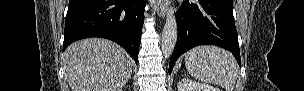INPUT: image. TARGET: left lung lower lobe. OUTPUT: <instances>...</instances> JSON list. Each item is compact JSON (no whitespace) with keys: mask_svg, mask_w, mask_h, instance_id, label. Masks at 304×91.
Segmentation results:
<instances>
[{"mask_svg":"<svg viewBox=\"0 0 304 91\" xmlns=\"http://www.w3.org/2000/svg\"><path fill=\"white\" fill-rule=\"evenodd\" d=\"M232 3L233 0H185L176 14L178 39L169 74L177 58L198 45H216L231 51L241 67Z\"/></svg>","mask_w":304,"mask_h":91,"instance_id":"obj_1","label":"left lung lower lobe"}]
</instances>
